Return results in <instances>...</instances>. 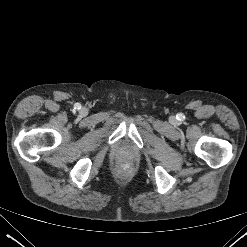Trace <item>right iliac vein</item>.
<instances>
[{
    "label": "right iliac vein",
    "instance_id": "right-iliac-vein-1",
    "mask_svg": "<svg viewBox=\"0 0 247 247\" xmlns=\"http://www.w3.org/2000/svg\"><path fill=\"white\" fill-rule=\"evenodd\" d=\"M81 114H85V110L83 109V110H81Z\"/></svg>",
    "mask_w": 247,
    "mask_h": 247
}]
</instances>
